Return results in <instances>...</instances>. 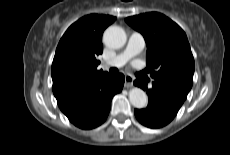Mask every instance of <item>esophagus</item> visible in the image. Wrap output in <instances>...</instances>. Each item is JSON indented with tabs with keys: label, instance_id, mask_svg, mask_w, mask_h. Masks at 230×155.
<instances>
[{
	"label": "esophagus",
	"instance_id": "esophagus-1",
	"mask_svg": "<svg viewBox=\"0 0 230 155\" xmlns=\"http://www.w3.org/2000/svg\"><path fill=\"white\" fill-rule=\"evenodd\" d=\"M134 78L131 75H125V87L130 88L133 86Z\"/></svg>",
	"mask_w": 230,
	"mask_h": 155
}]
</instances>
